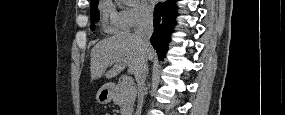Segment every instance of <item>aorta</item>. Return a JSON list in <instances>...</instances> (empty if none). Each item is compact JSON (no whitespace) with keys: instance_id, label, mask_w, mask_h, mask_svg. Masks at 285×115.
Here are the masks:
<instances>
[{"instance_id":"1","label":"aorta","mask_w":285,"mask_h":115,"mask_svg":"<svg viewBox=\"0 0 285 115\" xmlns=\"http://www.w3.org/2000/svg\"><path fill=\"white\" fill-rule=\"evenodd\" d=\"M124 2L126 4L132 5V4H135L137 2V0H124Z\"/></svg>"}]
</instances>
